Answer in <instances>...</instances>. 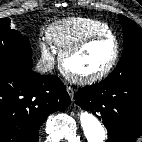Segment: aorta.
Wrapping results in <instances>:
<instances>
[{"mask_svg": "<svg viewBox=\"0 0 142 142\" xmlns=\"http://www.w3.org/2000/svg\"><path fill=\"white\" fill-rule=\"evenodd\" d=\"M79 119L88 142H104L106 131L96 116L88 111H82Z\"/></svg>", "mask_w": 142, "mask_h": 142, "instance_id": "obj_1", "label": "aorta"}]
</instances>
